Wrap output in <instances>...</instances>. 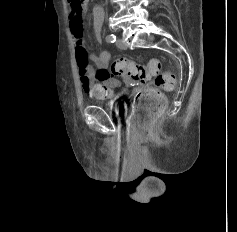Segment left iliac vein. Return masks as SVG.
<instances>
[{
  "label": "left iliac vein",
  "mask_w": 237,
  "mask_h": 232,
  "mask_svg": "<svg viewBox=\"0 0 237 232\" xmlns=\"http://www.w3.org/2000/svg\"><path fill=\"white\" fill-rule=\"evenodd\" d=\"M116 46H117L119 49H121V50L126 49V45L123 43V41H122L121 39H118V40L116 41Z\"/></svg>",
  "instance_id": "1"
}]
</instances>
